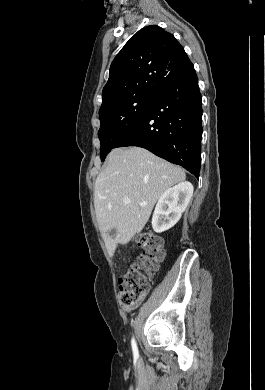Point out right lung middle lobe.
Here are the masks:
<instances>
[{"label": "right lung middle lobe", "instance_id": "obj_1", "mask_svg": "<svg viewBox=\"0 0 265 390\" xmlns=\"http://www.w3.org/2000/svg\"><path fill=\"white\" fill-rule=\"evenodd\" d=\"M154 97L153 94H137L99 110L101 127L98 136L102 161L148 110Z\"/></svg>", "mask_w": 265, "mask_h": 390}]
</instances>
